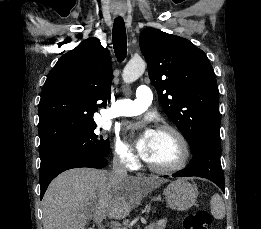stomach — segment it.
Returning <instances> with one entry per match:
<instances>
[{
    "instance_id": "obj_1",
    "label": "stomach",
    "mask_w": 261,
    "mask_h": 229,
    "mask_svg": "<svg viewBox=\"0 0 261 229\" xmlns=\"http://www.w3.org/2000/svg\"><path fill=\"white\" fill-rule=\"evenodd\" d=\"M164 195L171 209L187 211L196 203L198 191L196 185H191L186 179H177L167 185L164 189Z\"/></svg>"
}]
</instances>
